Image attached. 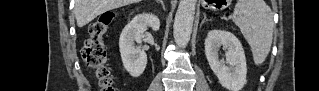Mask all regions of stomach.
<instances>
[{
	"label": "stomach",
	"mask_w": 319,
	"mask_h": 91,
	"mask_svg": "<svg viewBox=\"0 0 319 91\" xmlns=\"http://www.w3.org/2000/svg\"><path fill=\"white\" fill-rule=\"evenodd\" d=\"M208 4H210L209 7L211 8H217V9H224L229 5L228 0H214V1H207Z\"/></svg>",
	"instance_id": "0dacf381"
}]
</instances>
